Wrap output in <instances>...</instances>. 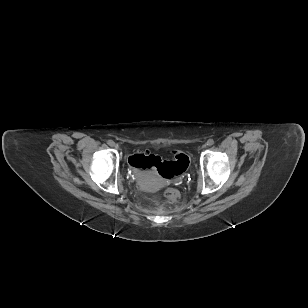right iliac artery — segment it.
I'll list each match as a JSON object with an SVG mask.
<instances>
[{
	"label": "right iliac artery",
	"mask_w": 308,
	"mask_h": 308,
	"mask_svg": "<svg viewBox=\"0 0 308 308\" xmlns=\"http://www.w3.org/2000/svg\"><path fill=\"white\" fill-rule=\"evenodd\" d=\"M108 145L112 146L114 144V142L112 140H108Z\"/></svg>",
	"instance_id": "obj_1"
}]
</instances>
